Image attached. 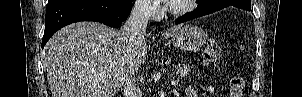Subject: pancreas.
<instances>
[{
    "label": "pancreas",
    "mask_w": 302,
    "mask_h": 97,
    "mask_svg": "<svg viewBox=\"0 0 302 97\" xmlns=\"http://www.w3.org/2000/svg\"><path fill=\"white\" fill-rule=\"evenodd\" d=\"M190 67L185 64H178L176 66V76L177 77H186L189 75Z\"/></svg>",
    "instance_id": "obj_1"
}]
</instances>
